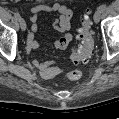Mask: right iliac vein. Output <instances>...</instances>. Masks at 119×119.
I'll return each instance as SVG.
<instances>
[{
    "label": "right iliac vein",
    "mask_w": 119,
    "mask_h": 119,
    "mask_svg": "<svg viewBox=\"0 0 119 119\" xmlns=\"http://www.w3.org/2000/svg\"><path fill=\"white\" fill-rule=\"evenodd\" d=\"M19 23H20L21 29H22L23 31H25V30H26V27H27L25 20H24L23 18H20V19H19Z\"/></svg>",
    "instance_id": "right-iliac-vein-1"
}]
</instances>
